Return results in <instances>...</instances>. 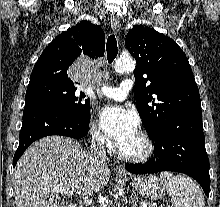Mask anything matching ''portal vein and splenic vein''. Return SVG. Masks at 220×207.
Returning a JSON list of instances; mask_svg holds the SVG:
<instances>
[{"label": "portal vein and splenic vein", "instance_id": "portal-vein-and-splenic-vein-1", "mask_svg": "<svg viewBox=\"0 0 220 207\" xmlns=\"http://www.w3.org/2000/svg\"><path fill=\"white\" fill-rule=\"evenodd\" d=\"M55 192H58V193H61V194H66L68 196H73L74 195V192L71 191L69 188H66V187H56L54 189ZM143 207H147L146 205L143 204ZM169 207V206H168Z\"/></svg>", "mask_w": 220, "mask_h": 207}]
</instances>
